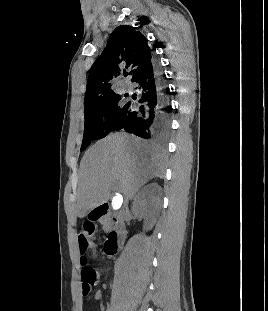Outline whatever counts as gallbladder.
Segmentation results:
<instances>
[{
    "label": "gallbladder",
    "instance_id": "1",
    "mask_svg": "<svg viewBox=\"0 0 268 311\" xmlns=\"http://www.w3.org/2000/svg\"><path fill=\"white\" fill-rule=\"evenodd\" d=\"M122 206H124V199H111L109 204L110 209H113V211L122 208Z\"/></svg>",
    "mask_w": 268,
    "mask_h": 311
}]
</instances>
